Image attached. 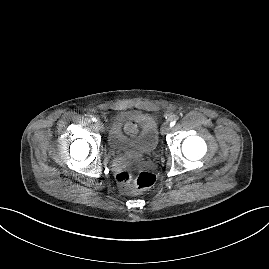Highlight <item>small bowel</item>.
<instances>
[{"label": "small bowel", "mask_w": 269, "mask_h": 269, "mask_svg": "<svg viewBox=\"0 0 269 269\" xmlns=\"http://www.w3.org/2000/svg\"><path fill=\"white\" fill-rule=\"evenodd\" d=\"M128 133H134L136 131V126L134 124H130L127 126Z\"/></svg>", "instance_id": "obj_1"}]
</instances>
